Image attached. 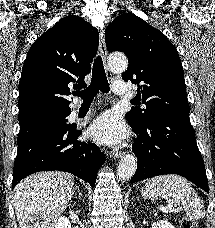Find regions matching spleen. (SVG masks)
<instances>
[{
	"label": "spleen",
	"instance_id": "3e777b00",
	"mask_svg": "<svg viewBox=\"0 0 215 228\" xmlns=\"http://www.w3.org/2000/svg\"><path fill=\"white\" fill-rule=\"evenodd\" d=\"M144 198H169L170 206H180L190 220L204 218L205 208L194 188L185 178L170 174L148 180L141 190Z\"/></svg>",
	"mask_w": 215,
	"mask_h": 228
}]
</instances>
